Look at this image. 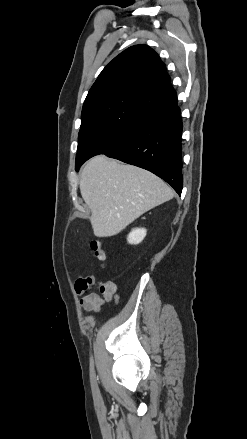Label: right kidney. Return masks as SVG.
Returning a JSON list of instances; mask_svg holds the SVG:
<instances>
[{"mask_svg": "<svg viewBox=\"0 0 247 439\" xmlns=\"http://www.w3.org/2000/svg\"><path fill=\"white\" fill-rule=\"evenodd\" d=\"M146 232L147 231L144 228L133 229L127 237L128 243L134 245L141 243L146 236Z\"/></svg>", "mask_w": 247, "mask_h": 439, "instance_id": "right-kidney-1", "label": "right kidney"}]
</instances>
